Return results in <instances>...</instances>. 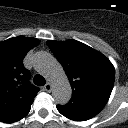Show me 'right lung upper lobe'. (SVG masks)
<instances>
[{"label":"right lung upper lobe","instance_id":"1","mask_svg":"<svg viewBox=\"0 0 128 128\" xmlns=\"http://www.w3.org/2000/svg\"><path fill=\"white\" fill-rule=\"evenodd\" d=\"M39 41L24 36L0 42V120L34 100L39 89L31 85L23 59Z\"/></svg>","mask_w":128,"mask_h":128}]
</instances>
